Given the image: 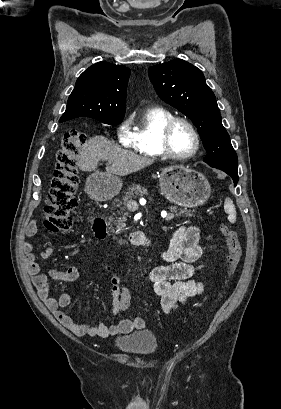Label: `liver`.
<instances>
[{"instance_id":"liver-1","label":"liver","mask_w":281,"mask_h":409,"mask_svg":"<svg viewBox=\"0 0 281 409\" xmlns=\"http://www.w3.org/2000/svg\"><path fill=\"white\" fill-rule=\"evenodd\" d=\"M99 160H108L106 174H119L125 176L130 172H136L145 168L148 164H153L155 158L135 154L132 150H124L120 146L111 144L105 136H93L86 144H83L79 152L77 166L80 170H97Z\"/></svg>"}]
</instances>
